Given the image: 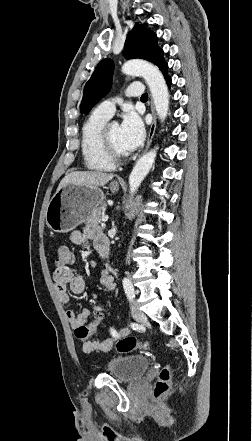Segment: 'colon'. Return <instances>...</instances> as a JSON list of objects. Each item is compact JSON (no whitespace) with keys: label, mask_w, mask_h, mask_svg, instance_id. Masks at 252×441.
<instances>
[{"label":"colon","mask_w":252,"mask_h":441,"mask_svg":"<svg viewBox=\"0 0 252 441\" xmlns=\"http://www.w3.org/2000/svg\"><path fill=\"white\" fill-rule=\"evenodd\" d=\"M72 253L66 245H59L56 248L55 265L57 267L68 266L72 262ZM105 311H96L93 321L80 327L75 331L77 339L83 343L89 339V337L96 332L102 325ZM148 342H142L135 337H126L117 343V350L119 352H130L134 350H148ZM172 370L170 366H164L159 373V377L156 381L154 388V396L160 398L165 395L170 388Z\"/></svg>","instance_id":"5ec220e1"}]
</instances>
